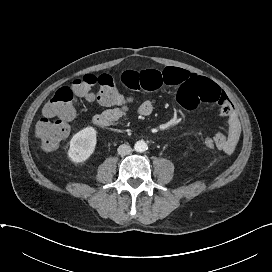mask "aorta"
Returning <instances> with one entry per match:
<instances>
[{
    "label": "aorta",
    "mask_w": 272,
    "mask_h": 272,
    "mask_svg": "<svg viewBox=\"0 0 272 272\" xmlns=\"http://www.w3.org/2000/svg\"><path fill=\"white\" fill-rule=\"evenodd\" d=\"M134 149L137 152H145L148 149L147 143L143 140L137 141L134 145Z\"/></svg>",
    "instance_id": "obj_1"
}]
</instances>
